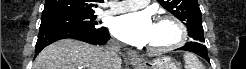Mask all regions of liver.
Instances as JSON below:
<instances>
[{
  "mask_svg": "<svg viewBox=\"0 0 246 69\" xmlns=\"http://www.w3.org/2000/svg\"><path fill=\"white\" fill-rule=\"evenodd\" d=\"M113 62L107 47L64 39L45 47L36 57L33 69H122Z\"/></svg>",
  "mask_w": 246,
  "mask_h": 69,
  "instance_id": "obj_1",
  "label": "liver"
}]
</instances>
